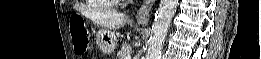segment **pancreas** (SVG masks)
I'll list each match as a JSON object with an SVG mask.
<instances>
[{
    "label": "pancreas",
    "mask_w": 261,
    "mask_h": 59,
    "mask_svg": "<svg viewBox=\"0 0 261 59\" xmlns=\"http://www.w3.org/2000/svg\"><path fill=\"white\" fill-rule=\"evenodd\" d=\"M132 52V48L129 45L123 46L121 50L117 53L118 59H126Z\"/></svg>",
    "instance_id": "1"
}]
</instances>
